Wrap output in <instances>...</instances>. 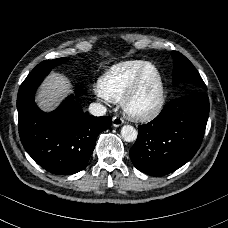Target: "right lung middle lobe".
<instances>
[{
    "label": "right lung middle lobe",
    "instance_id": "1",
    "mask_svg": "<svg viewBox=\"0 0 228 228\" xmlns=\"http://www.w3.org/2000/svg\"><path fill=\"white\" fill-rule=\"evenodd\" d=\"M68 59L67 58H58V59H54V60H45L43 62H41L40 64H38L33 70L32 72H36V71H42V70H51L52 68L66 62Z\"/></svg>",
    "mask_w": 228,
    "mask_h": 228
}]
</instances>
